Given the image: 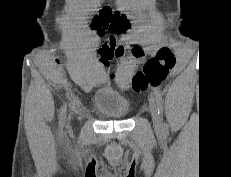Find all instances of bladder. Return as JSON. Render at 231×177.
I'll list each match as a JSON object with an SVG mask.
<instances>
[{
  "label": "bladder",
  "instance_id": "bladder-1",
  "mask_svg": "<svg viewBox=\"0 0 231 177\" xmlns=\"http://www.w3.org/2000/svg\"><path fill=\"white\" fill-rule=\"evenodd\" d=\"M93 104L103 117L109 119H124L130 112L129 100L120 93L107 88L96 91Z\"/></svg>",
  "mask_w": 231,
  "mask_h": 177
}]
</instances>
